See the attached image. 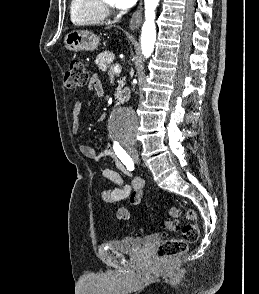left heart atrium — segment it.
<instances>
[{
    "instance_id": "39dd6f15",
    "label": "left heart atrium",
    "mask_w": 259,
    "mask_h": 294,
    "mask_svg": "<svg viewBox=\"0 0 259 294\" xmlns=\"http://www.w3.org/2000/svg\"><path fill=\"white\" fill-rule=\"evenodd\" d=\"M113 2L118 8L127 9L132 7L137 0H113Z\"/></svg>"
}]
</instances>
